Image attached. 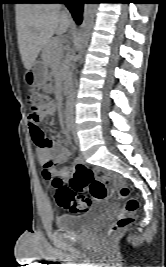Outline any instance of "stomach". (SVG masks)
Masks as SVG:
<instances>
[{
    "instance_id": "stomach-1",
    "label": "stomach",
    "mask_w": 166,
    "mask_h": 267,
    "mask_svg": "<svg viewBox=\"0 0 166 267\" xmlns=\"http://www.w3.org/2000/svg\"><path fill=\"white\" fill-rule=\"evenodd\" d=\"M47 80V65L42 61H35L24 74V81L29 87H42Z\"/></svg>"
}]
</instances>
